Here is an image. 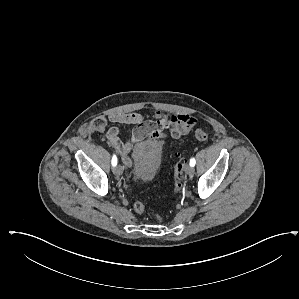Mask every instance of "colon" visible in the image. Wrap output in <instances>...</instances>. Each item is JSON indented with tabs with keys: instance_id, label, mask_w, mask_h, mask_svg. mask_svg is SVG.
<instances>
[{
	"instance_id": "5ec220e1",
	"label": "colon",
	"mask_w": 299,
	"mask_h": 299,
	"mask_svg": "<svg viewBox=\"0 0 299 299\" xmlns=\"http://www.w3.org/2000/svg\"><path fill=\"white\" fill-rule=\"evenodd\" d=\"M95 128L101 132L105 131V129H106L105 122L103 120H98L95 123ZM194 135H195L196 139H198L199 141H206L209 138L207 131H205L203 129H196L194 131ZM183 170H184L183 160L177 161L174 166V192L175 193H179L182 189L181 180H182V176H183ZM134 210L137 213L142 214L145 212V205L142 202L137 201L134 203ZM157 218H160V217L157 216Z\"/></svg>"
}]
</instances>
